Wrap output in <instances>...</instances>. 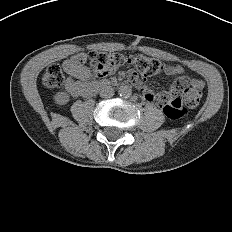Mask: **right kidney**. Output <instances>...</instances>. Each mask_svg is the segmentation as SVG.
<instances>
[{
    "label": "right kidney",
    "instance_id": "1",
    "mask_svg": "<svg viewBox=\"0 0 232 232\" xmlns=\"http://www.w3.org/2000/svg\"><path fill=\"white\" fill-rule=\"evenodd\" d=\"M69 95L66 92H58L54 95V101L58 105H65L69 102Z\"/></svg>",
    "mask_w": 232,
    "mask_h": 232
}]
</instances>
